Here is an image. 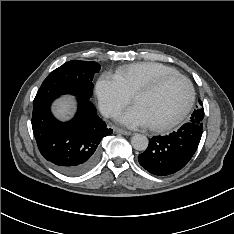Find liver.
Segmentation results:
<instances>
[{"label":"liver","instance_id":"liver-1","mask_svg":"<svg viewBox=\"0 0 234 234\" xmlns=\"http://www.w3.org/2000/svg\"><path fill=\"white\" fill-rule=\"evenodd\" d=\"M73 104L70 100H61L55 103L54 114L56 117L65 120L73 112Z\"/></svg>","mask_w":234,"mask_h":234}]
</instances>
